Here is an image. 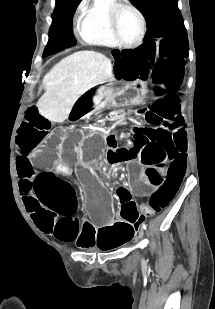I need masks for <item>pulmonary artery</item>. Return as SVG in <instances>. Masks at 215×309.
I'll return each instance as SVG.
<instances>
[{"mask_svg":"<svg viewBox=\"0 0 215 309\" xmlns=\"http://www.w3.org/2000/svg\"><path fill=\"white\" fill-rule=\"evenodd\" d=\"M92 8H97L94 9V16H105V11H108V8H113V1L110 0L92 1Z\"/></svg>","mask_w":215,"mask_h":309,"instance_id":"e3ab8cb5","label":"pulmonary artery"}]
</instances>
